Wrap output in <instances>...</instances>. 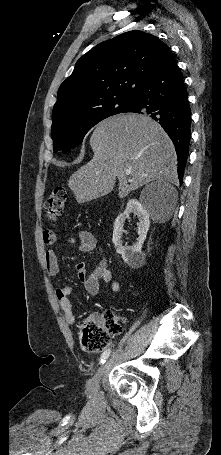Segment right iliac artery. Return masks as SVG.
<instances>
[{
	"instance_id": "obj_1",
	"label": "right iliac artery",
	"mask_w": 221,
	"mask_h": 455,
	"mask_svg": "<svg viewBox=\"0 0 221 455\" xmlns=\"http://www.w3.org/2000/svg\"><path fill=\"white\" fill-rule=\"evenodd\" d=\"M110 353H111L110 349L105 350L101 355L100 363L104 364L106 362V359L109 357Z\"/></svg>"
}]
</instances>
